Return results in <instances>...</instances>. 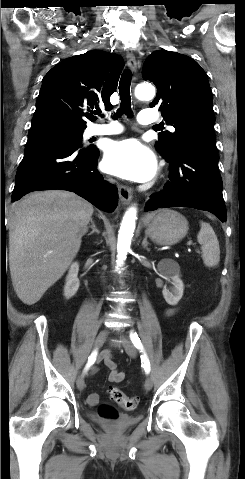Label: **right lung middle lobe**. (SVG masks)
<instances>
[{
	"mask_svg": "<svg viewBox=\"0 0 245 479\" xmlns=\"http://www.w3.org/2000/svg\"><path fill=\"white\" fill-rule=\"evenodd\" d=\"M83 130L84 129H71L62 126L30 130L25 150L54 140H69L80 145Z\"/></svg>",
	"mask_w": 245,
	"mask_h": 479,
	"instance_id": "dd1d6c3e",
	"label": "right lung middle lobe"
}]
</instances>
